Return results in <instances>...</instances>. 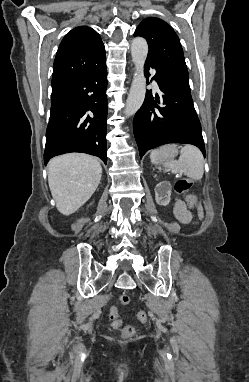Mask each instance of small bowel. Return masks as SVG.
<instances>
[{
  "instance_id": "obj_1",
  "label": "small bowel",
  "mask_w": 249,
  "mask_h": 382,
  "mask_svg": "<svg viewBox=\"0 0 249 382\" xmlns=\"http://www.w3.org/2000/svg\"><path fill=\"white\" fill-rule=\"evenodd\" d=\"M175 214L182 223H190L192 221L191 213L185 208L182 202L178 201L175 205Z\"/></svg>"
}]
</instances>
